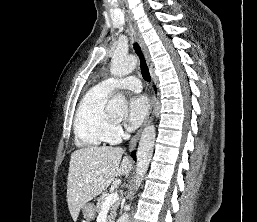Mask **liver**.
I'll return each mask as SVG.
<instances>
[{"label":"liver","mask_w":257,"mask_h":222,"mask_svg":"<svg viewBox=\"0 0 257 222\" xmlns=\"http://www.w3.org/2000/svg\"><path fill=\"white\" fill-rule=\"evenodd\" d=\"M117 147H86L71 154L67 177V203L73 221L88 201L106 190L115 177L128 175L132 165Z\"/></svg>","instance_id":"6515ba94"}]
</instances>
